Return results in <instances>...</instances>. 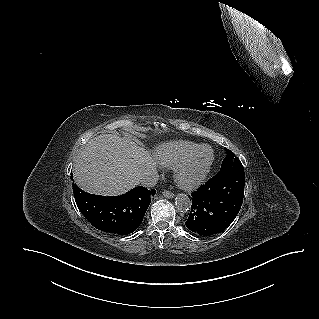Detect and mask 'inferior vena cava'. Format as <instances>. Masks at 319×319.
Listing matches in <instances>:
<instances>
[{
  "instance_id": "602c4592",
  "label": "inferior vena cava",
  "mask_w": 319,
  "mask_h": 319,
  "mask_svg": "<svg viewBox=\"0 0 319 319\" xmlns=\"http://www.w3.org/2000/svg\"><path fill=\"white\" fill-rule=\"evenodd\" d=\"M158 174L155 170H151L143 174L140 178V184L145 187H153L157 184Z\"/></svg>"
}]
</instances>
